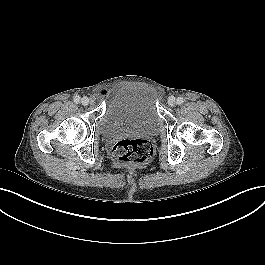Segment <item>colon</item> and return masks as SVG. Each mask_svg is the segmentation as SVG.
I'll return each mask as SVG.
<instances>
[{
  "label": "colon",
  "instance_id": "colon-1",
  "mask_svg": "<svg viewBox=\"0 0 265 265\" xmlns=\"http://www.w3.org/2000/svg\"><path fill=\"white\" fill-rule=\"evenodd\" d=\"M153 144L143 138L121 139L113 147L114 158L123 165H142L154 156Z\"/></svg>",
  "mask_w": 265,
  "mask_h": 265
}]
</instances>
